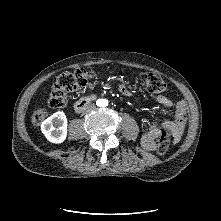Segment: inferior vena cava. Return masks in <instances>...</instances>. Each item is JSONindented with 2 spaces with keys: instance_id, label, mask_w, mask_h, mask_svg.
I'll list each match as a JSON object with an SVG mask.
<instances>
[{
  "instance_id": "602c4592",
  "label": "inferior vena cava",
  "mask_w": 221,
  "mask_h": 221,
  "mask_svg": "<svg viewBox=\"0 0 221 221\" xmlns=\"http://www.w3.org/2000/svg\"><path fill=\"white\" fill-rule=\"evenodd\" d=\"M95 105L94 104H89L87 107H86V112H89L91 110H94L95 109Z\"/></svg>"
}]
</instances>
